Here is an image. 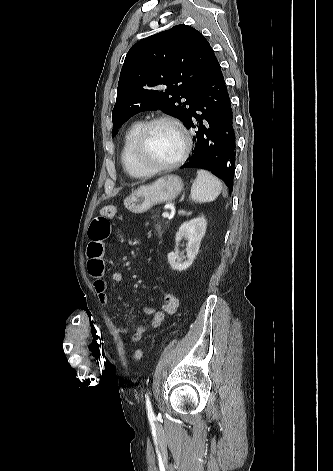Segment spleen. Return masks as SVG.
<instances>
[{
	"instance_id": "1",
	"label": "spleen",
	"mask_w": 333,
	"mask_h": 471,
	"mask_svg": "<svg viewBox=\"0 0 333 471\" xmlns=\"http://www.w3.org/2000/svg\"><path fill=\"white\" fill-rule=\"evenodd\" d=\"M222 184L210 172L199 169L192 184L190 197L196 203L214 201L221 193Z\"/></svg>"
}]
</instances>
